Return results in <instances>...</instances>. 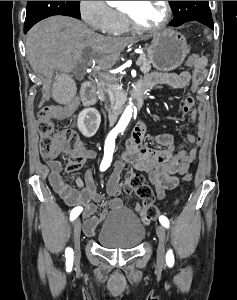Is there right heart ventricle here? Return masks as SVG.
<instances>
[{
	"label": "right heart ventricle",
	"instance_id": "e07e8e85",
	"mask_svg": "<svg viewBox=\"0 0 237 300\" xmlns=\"http://www.w3.org/2000/svg\"><path fill=\"white\" fill-rule=\"evenodd\" d=\"M130 30V26L126 22L124 16L120 13L117 12V29L116 32L118 33H125Z\"/></svg>",
	"mask_w": 237,
	"mask_h": 300
}]
</instances>
